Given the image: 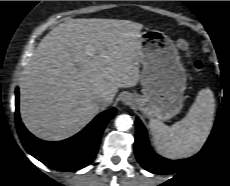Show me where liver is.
Segmentation results:
<instances>
[{"label":"liver","instance_id":"1","mask_svg":"<svg viewBox=\"0 0 230 186\" xmlns=\"http://www.w3.org/2000/svg\"><path fill=\"white\" fill-rule=\"evenodd\" d=\"M130 20L69 19L39 43L20 82V114L36 137L58 141L81 131L140 80L141 29ZM111 99L101 105L99 96Z\"/></svg>","mask_w":230,"mask_h":186}]
</instances>
